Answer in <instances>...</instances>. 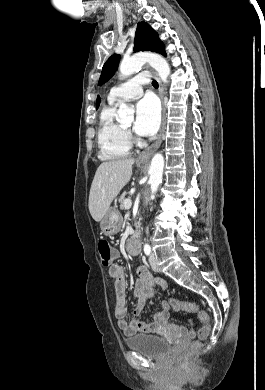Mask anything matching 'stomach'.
<instances>
[{
	"label": "stomach",
	"instance_id": "0dacf381",
	"mask_svg": "<svg viewBox=\"0 0 265 390\" xmlns=\"http://www.w3.org/2000/svg\"><path fill=\"white\" fill-rule=\"evenodd\" d=\"M122 225L120 213L115 208H109L100 222L102 233L108 236L117 234Z\"/></svg>",
	"mask_w": 265,
	"mask_h": 390
}]
</instances>
